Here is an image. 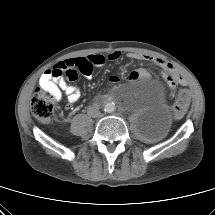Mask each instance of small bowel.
Masks as SVG:
<instances>
[{
	"mask_svg": "<svg viewBox=\"0 0 215 215\" xmlns=\"http://www.w3.org/2000/svg\"><path fill=\"white\" fill-rule=\"evenodd\" d=\"M121 57V53L119 51H113L108 54L107 57L103 55H89L87 57L83 58H70L67 59L63 62L58 63L53 67V69L46 71L40 78L39 84L41 88L52 92L57 100H60L62 97V92L67 96L68 100V105L67 108L71 109L72 104L77 102L80 99L81 92L80 89L77 86L68 84L64 77L61 76H56L54 73L55 71H66L69 69H75L74 75L68 76L67 79L70 81H75L78 78V72L83 74L86 77H90L92 74L93 67H100L102 66L106 60L109 61H117ZM128 57L132 60H148V61H153L160 65L162 68H164L166 71L169 69V64L158 59V58H153L150 56H145V55H140L136 53H129ZM82 64L87 65V71H79V68ZM149 76V73L146 69L144 68H139L135 71H133L129 79L130 80H137V79H143L147 78ZM110 82L112 83H117L119 81L118 76H111L110 77ZM183 84V80L180 82Z\"/></svg>",
	"mask_w": 215,
	"mask_h": 215,
	"instance_id": "c3829d8e",
	"label": "small bowel"
}]
</instances>
